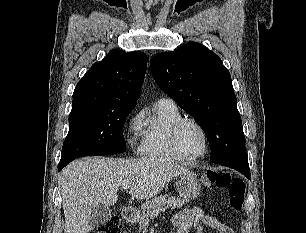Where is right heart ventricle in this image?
Here are the masks:
<instances>
[{
	"instance_id": "e07e8e85",
	"label": "right heart ventricle",
	"mask_w": 306,
	"mask_h": 233,
	"mask_svg": "<svg viewBox=\"0 0 306 233\" xmlns=\"http://www.w3.org/2000/svg\"><path fill=\"white\" fill-rule=\"evenodd\" d=\"M182 115L175 103L157 101L152 112L142 120L141 154L148 159L178 160L170 146V131Z\"/></svg>"
}]
</instances>
